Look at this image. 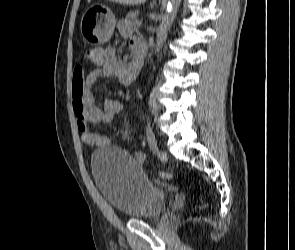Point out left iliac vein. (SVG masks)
<instances>
[{
	"label": "left iliac vein",
	"instance_id": "obj_1",
	"mask_svg": "<svg viewBox=\"0 0 295 250\" xmlns=\"http://www.w3.org/2000/svg\"><path fill=\"white\" fill-rule=\"evenodd\" d=\"M156 151H157V155L160 157V158H165L166 157V152L164 151V150H162V149H160L159 147H157V149H156Z\"/></svg>",
	"mask_w": 295,
	"mask_h": 250
}]
</instances>
